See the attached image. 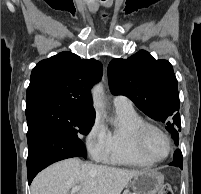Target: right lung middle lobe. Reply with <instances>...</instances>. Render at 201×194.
<instances>
[{"label":"right lung middle lobe","mask_w":201,"mask_h":194,"mask_svg":"<svg viewBox=\"0 0 201 194\" xmlns=\"http://www.w3.org/2000/svg\"><path fill=\"white\" fill-rule=\"evenodd\" d=\"M26 118L28 126L39 121L47 122L79 139L90 132L95 120V116L79 113L65 102L53 99L26 104ZM80 156L86 159V151Z\"/></svg>","instance_id":"obj_1"}]
</instances>
